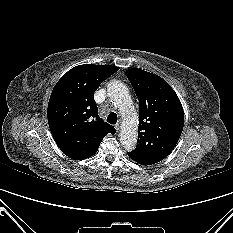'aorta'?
Returning a JSON list of instances; mask_svg holds the SVG:
<instances>
[{
	"label": "aorta",
	"mask_w": 233,
	"mask_h": 233,
	"mask_svg": "<svg viewBox=\"0 0 233 233\" xmlns=\"http://www.w3.org/2000/svg\"><path fill=\"white\" fill-rule=\"evenodd\" d=\"M107 94L122 114L123 124L120 134L122 147L131 151L137 144L138 114L135 111L129 91L122 82L113 80L108 83Z\"/></svg>",
	"instance_id": "aorta-1"
}]
</instances>
